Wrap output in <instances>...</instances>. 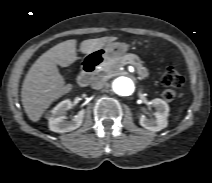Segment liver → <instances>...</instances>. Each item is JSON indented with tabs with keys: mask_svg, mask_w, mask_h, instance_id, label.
<instances>
[{
	"mask_svg": "<svg viewBox=\"0 0 212 183\" xmlns=\"http://www.w3.org/2000/svg\"><path fill=\"white\" fill-rule=\"evenodd\" d=\"M116 37L87 39L81 42L80 51L91 54L100 50ZM75 39L61 42L43 53L29 69L22 85L21 100L28 118L37 122L45 110L58 98L69 93L71 84H65L57 65L68 67L77 60Z\"/></svg>",
	"mask_w": 212,
	"mask_h": 183,
	"instance_id": "1",
	"label": "liver"
}]
</instances>
